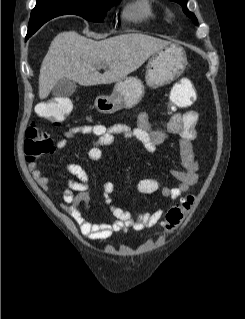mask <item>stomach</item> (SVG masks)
Listing matches in <instances>:
<instances>
[{
	"label": "stomach",
	"instance_id": "0dacf381",
	"mask_svg": "<svg viewBox=\"0 0 245 319\" xmlns=\"http://www.w3.org/2000/svg\"><path fill=\"white\" fill-rule=\"evenodd\" d=\"M187 56L182 47L169 44L154 53L147 64L145 82L156 89L178 78L187 66ZM145 88L138 77L118 81L110 96H98L95 107L100 113L112 114L123 108L135 107L143 98Z\"/></svg>",
	"mask_w": 245,
	"mask_h": 319
}]
</instances>
